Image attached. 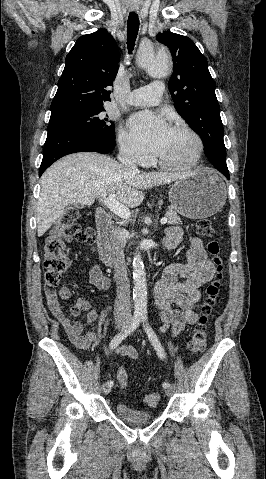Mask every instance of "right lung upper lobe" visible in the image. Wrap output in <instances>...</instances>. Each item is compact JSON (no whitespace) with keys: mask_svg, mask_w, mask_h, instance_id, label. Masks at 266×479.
<instances>
[{"mask_svg":"<svg viewBox=\"0 0 266 479\" xmlns=\"http://www.w3.org/2000/svg\"><path fill=\"white\" fill-rule=\"evenodd\" d=\"M119 49L105 29L81 36L66 56L51 113L74 108H100L111 101L112 86L118 72Z\"/></svg>","mask_w":266,"mask_h":479,"instance_id":"1","label":"right lung upper lobe"}]
</instances>
